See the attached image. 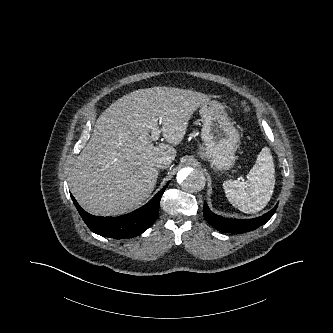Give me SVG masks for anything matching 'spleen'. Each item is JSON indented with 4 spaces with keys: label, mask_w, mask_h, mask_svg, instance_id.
Segmentation results:
<instances>
[{
    "label": "spleen",
    "mask_w": 333,
    "mask_h": 333,
    "mask_svg": "<svg viewBox=\"0 0 333 333\" xmlns=\"http://www.w3.org/2000/svg\"><path fill=\"white\" fill-rule=\"evenodd\" d=\"M275 168L270 149L264 147L247 180H226L223 189L229 202L244 213H257L270 201L275 186Z\"/></svg>",
    "instance_id": "1"
}]
</instances>
